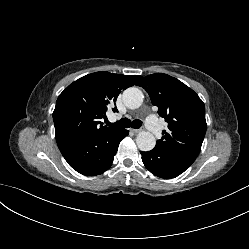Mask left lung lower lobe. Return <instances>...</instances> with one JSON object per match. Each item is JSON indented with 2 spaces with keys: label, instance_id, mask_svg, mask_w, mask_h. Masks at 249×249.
<instances>
[{
  "label": "left lung lower lobe",
  "instance_id": "obj_1",
  "mask_svg": "<svg viewBox=\"0 0 249 249\" xmlns=\"http://www.w3.org/2000/svg\"><path fill=\"white\" fill-rule=\"evenodd\" d=\"M140 153L146 168L161 178L177 177L188 169L197 157L185 152L166 151L157 148Z\"/></svg>",
  "mask_w": 249,
  "mask_h": 249
}]
</instances>
